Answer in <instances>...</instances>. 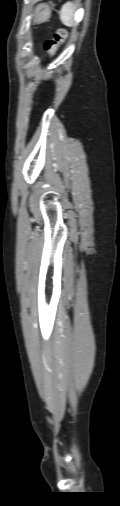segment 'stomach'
<instances>
[{"mask_svg":"<svg viewBox=\"0 0 120 506\" xmlns=\"http://www.w3.org/2000/svg\"><path fill=\"white\" fill-rule=\"evenodd\" d=\"M52 7V3L51 5L47 3H41L37 5L33 15L34 21L38 23L47 21L51 16Z\"/></svg>","mask_w":120,"mask_h":506,"instance_id":"obj_1","label":"stomach"}]
</instances>
